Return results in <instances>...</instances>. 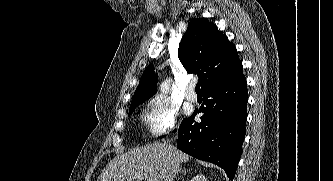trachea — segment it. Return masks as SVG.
Listing matches in <instances>:
<instances>
[{
    "mask_svg": "<svg viewBox=\"0 0 333 181\" xmlns=\"http://www.w3.org/2000/svg\"><path fill=\"white\" fill-rule=\"evenodd\" d=\"M195 90H196L197 93L201 92L200 83H197Z\"/></svg>",
    "mask_w": 333,
    "mask_h": 181,
    "instance_id": "obj_1",
    "label": "trachea"
}]
</instances>
